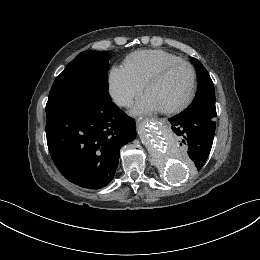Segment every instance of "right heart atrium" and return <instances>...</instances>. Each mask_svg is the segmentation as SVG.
<instances>
[{
	"instance_id": "right-heart-atrium-1",
	"label": "right heart atrium",
	"mask_w": 260,
	"mask_h": 260,
	"mask_svg": "<svg viewBox=\"0 0 260 260\" xmlns=\"http://www.w3.org/2000/svg\"><path fill=\"white\" fill-rule=\"evenodd\" d=\"M109 90L114 102L126 107L141 93L143 84L135 80L125 67L114 66L110 72Z\"/></svg>"
}]
</instances>
